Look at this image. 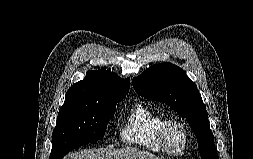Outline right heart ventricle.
I'll return each instance as SVG.
<instances>
[{
  "instance_id": "obj_1",
  "label": "right heart ventricle",
  "mask_w": 253,
  "mask_h": 159,
  "mask_svg": "<svg viewBox=\"0 0 253 159\" xmlns=\"http://www.w3.org/2000/svg\"><path fill=\"white\" fill-rule=\"evenodd\" d=\"M164 116L146 105L136 104L131 108L120 128L121 140L149 151L160 152L157 130Z\"/></svg>"
}]
</instances>
